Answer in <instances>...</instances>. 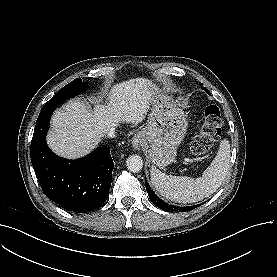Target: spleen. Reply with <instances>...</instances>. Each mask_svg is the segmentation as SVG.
Instances as JSON below:
<instances>
[{"mask_svg":"<svg viewBox=\"0 0 277 277\" xmlns=\"http://www.w3.org/2000/svg\"><path fill=\"white\" fill-rule=\"evenodd\" d=\"M230 169V144L224 139L220 142L217 154L201 177L167 175L151 167L152 185L163 197L179 202L194 203L213 194L223 183Z\"/></svg>","mask_w":277,"mask_h":277,"instance_id":"3e777b00","label":"spleen"}]
</instances>
